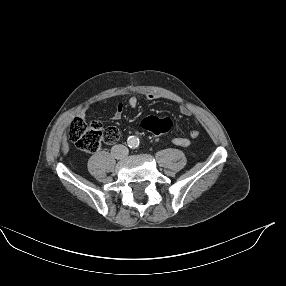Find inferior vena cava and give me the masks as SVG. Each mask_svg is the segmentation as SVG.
Returning a JSON list of instances; mask_svg holds the SVG:
<instances>
[{
  "label": "inferior vena cava",
  "mask_w": 286,
  "mask_h": 286,
  "mask_svg": "<svg viewBox=\"0 0 286 286\" xmlns=\"http://www.w3.org/2000/svg\"><path fill=\"white\" fill-rule=\"evenodd\" d=\"M111 153L116 159H124L127 157L129 150L126 146L119 144L112 147Z\"/></svg>",
  "instance_id": "obj_1"
}]
</instances>
